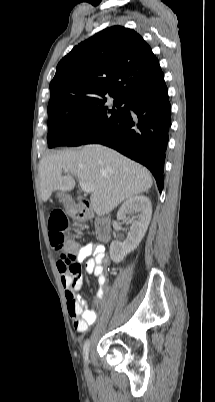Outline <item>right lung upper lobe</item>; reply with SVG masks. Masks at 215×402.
<instances>
[{"label":"right lung upper lobe","mask_w":215,"mask_h":402,"mask_svg":"<svg viewBox=\"0 0 215 402\" xmlns=\"http://www.w3.org/2000/svg\"><path fill=\"white\" fill-rule=\"evenodd\" d=\"M165 84L159 61L134 30L114 26L75 46L57 65L50 101L103 94L129 96Z\"/></svg>","instance_id":"obj_1"}]
</instances>
